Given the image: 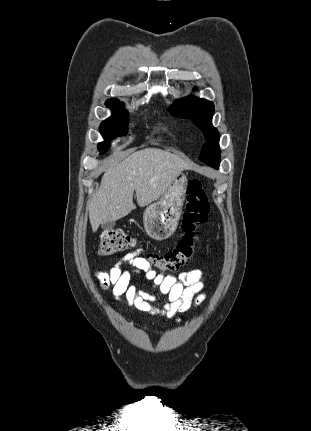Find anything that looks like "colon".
<instances>
[{
  "label": "colon",
  "mask_w": 311,
  "mask_h": 431,
  "mask_svg": "<svg viewBox=\"0 0 311 431\" xmlns=\"http://www.w3.org/2000/svg\"><path fill=\"white\" fill-rule=\"evenodd\" d=\"M209 204L203 183L191 179L187 184L185 211L183 214V235L175 248L164 253H148L146 258L161 274L176 273L185 267L194 256L195 236L206 222ZM135 240L121 229L107 230L99 241V253L103 256L116 254L135 247Z\"/></svg>",
  "instance_id": "1"
}]
</instances>
